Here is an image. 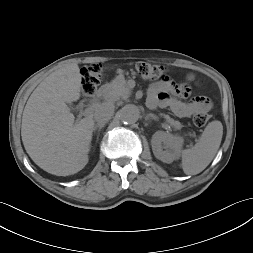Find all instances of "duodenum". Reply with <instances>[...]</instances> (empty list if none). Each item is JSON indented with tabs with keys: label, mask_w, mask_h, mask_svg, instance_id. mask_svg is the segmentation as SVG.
<instances>
[{
	"label": "duodenum",
	"mask_w": 253,
	"mask_h": 253,
	"mask_svg": "<svg viewBox=\"0 0 253 253\" xmlns=\"http://www.w3.org/2000/svg\"><path fill=\"white\" fill-rule=\"evenodd\" d=\"M102 94H103V90H100V91H99V95H102Z\"/></svg>",
	"instance_id": "obj_1"
}]
</instances>
